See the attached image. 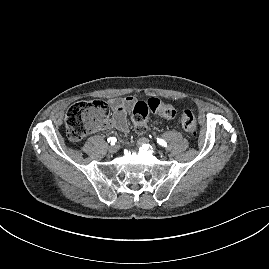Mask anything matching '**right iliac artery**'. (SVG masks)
<instances>
[{
	"mask_svg": "<svg viewBox=\"0 0 269 269\" xmlns=\"http://www.w3.org/2000/svg\"><path fill=\"white\" fill-rule=\"evenodd\" d=\"M111 145H114L116 143V138L115 137H109L107 140Z\"/></svg>",
	"mask_w": 269,
	"mask_h": 269,
	"instance_id": "82829eb1",
	"label": "right iliac artery"
}]
</instances>
